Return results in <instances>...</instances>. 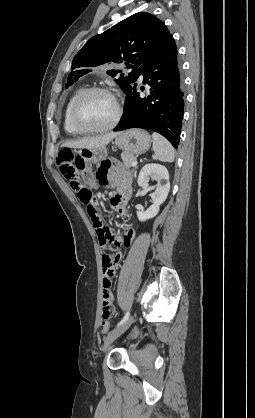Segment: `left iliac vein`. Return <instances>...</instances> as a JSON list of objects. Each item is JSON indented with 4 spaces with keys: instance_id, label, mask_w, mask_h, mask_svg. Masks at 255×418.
<instances>
[{
    "instance_id": "left-iliac-vein-1",
    "label": "left iliac vein",
    "mask_w": 255,
    "mask_h": 418,
    "mask_svg": "<svg viewBox=\"0 0 255 418\" xmlns=\"http://www.w3.org/2000/svg\"><path fill=\"white\" fill-rule=\"evenodd\" d=\"M133 316L128 318L126 322L112 330L104 339V347L105 350L112 342H114L121 334H123L132 324Z\"/></svg>"
}]
</instances>
